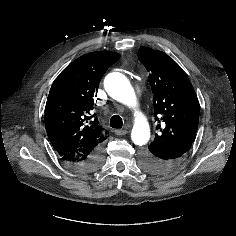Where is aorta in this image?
Wrapping results in <instances>:
<instances>
[{
  "instance_id": "obj_1",
  "label": "aorta",
  "mask_w": 236,
  "mask_h": 236,
  "mask_svg": "<svg viewBox=\"0 0 236 236\" xmlns=\"http://www.w3.org/2000/svg\"><path fill=\"white\" fill-rule=\"evenodd\" d=\"M106 92L116 101L129 107L137 104L136 95L129 80L119 72L109 73L104 79ZM131 139L134 144L142 146L150 139V127L146 118L136 112L134 126L131 132Z\"/></svg>"
}]
</instances>
